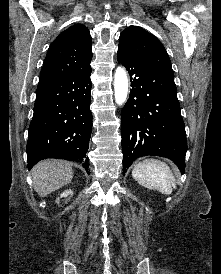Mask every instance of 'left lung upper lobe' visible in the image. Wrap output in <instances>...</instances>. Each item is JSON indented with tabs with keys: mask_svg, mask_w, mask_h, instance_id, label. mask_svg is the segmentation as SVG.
Here are the masks:
<instances>
[{
	"mask_svg": "<svg viewBox=\"0 0 221 274\" xmlns=\"http://www.w3.org/2000/svg\"><path fill=\"white\" fill-rule=\"evenodd\" d=\"M118 50L154 69L174 76L171 61L162 43L141 27L126 28L119 37Z\"/></svg>",
	"mask_w": 221,
	"mask_h": 274,
	"instance_id": "5c2ea615",
	"label": "left lung upper lobe"
}]
</instances>
